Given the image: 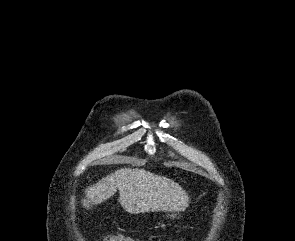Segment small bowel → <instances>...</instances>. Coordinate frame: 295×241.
Segmentation results:
<instances>
[{
    "mask_svg": "<svg viewBox=\"0 0 295 241\" xmlns=\"http://www.w3.org/2000/svg\"><path fill=\"white\" fill-rule=\"evenodd\" d=\"M123 241H139V240H135L130 237H124Z\"/></svg>",
    "mask_w": 295,
    "mask_h": 241,
    "instance_id": "small-bowel-1",
    "label": "small bowel"
}]
</instances>
